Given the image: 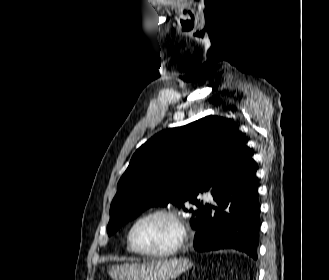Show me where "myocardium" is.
I'll return each mask as SVG.
<instances>
[{
  "instance_id": "1",
  "label": "myocardium",
  "mask_w": 329,
  "mask_h": 280,
  "mask_svg": "<svg viewBox=\"0 0 329 280\" xmlns=\"http://www.w3.org/2000/svg\"><path fill=\"white\" fill-rule=\"evenodd\" d=\"M156 216L166 217L173 222V224L175 225L176 230H177V240L171 247L164 249V250H160V251H150V250L140 249L139 247H137V245L134 242V231H135L136 227L142 221H144L148 218H151V217H156ZM186 239H187V232H186V228L184 226L183 221L181 220L179 215L174 210L167 209V208H158V209H154V210H151V211H148V212L142 214L133 222V224L130 227V230L128 232V244H129L130 248L132 249V251L135 252L136 254L143 255V256H149V257L170 256V255L178 252L182 248V246L186 242Z\"/></svg>"
}]
</instances>
